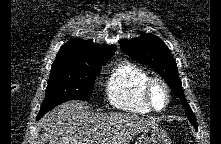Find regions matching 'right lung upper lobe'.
Returning <instances> with one entry per match:
<instances>
[{
  "mask_svg": "<svg viewBox=\"0 0 221 144\" xmlns=\"http://www.w3.org/2000/svg\"><path fill=\"white\" fill-rule=\"evenodd\" d=\"M116 47L100 46L81 39H72L59 50L53 65H80L106 63Z\"/></svg>",
  "mask_w": 221,
  "mask_h": 144,
  "instance_id": "obj_1",
  "label": "right lung upper lobe"
}]
</instances>
